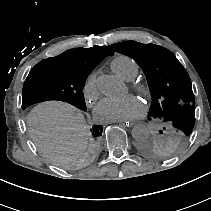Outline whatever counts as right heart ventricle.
Instances as JSON below:
<instances>
[{
  "label": "right heart ventricle",
  "mask_w": 211,
  "mask_h": 211,
  "mask_svg": "<svg viewBox=\"0 0 211 211\" xmlns=\"http://www.w3.org/2000/svg\"><path fill=\"white\" fill-rule=\"evenodd\" d=\"M112 70L121 78L131 81L139 73V65L137 61L128 55H117L111 63Z\"/></svg>",
  "instance_id": "right-heart-ventricle-1"
}]
</instances>
